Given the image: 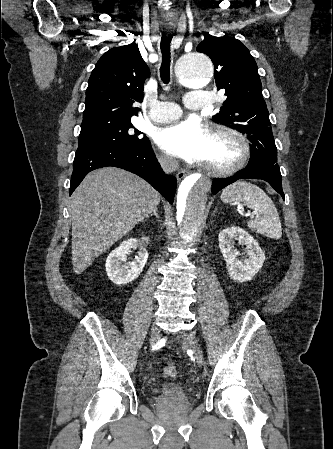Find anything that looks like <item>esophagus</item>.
<instances>
[{
	"instance_id": "34e87169",
	"label": "esophagus",
	"mask_w": 333,
	"mask_h": 449,
	"mask_svg": "<svg viewBox=\"0 0 333 449\" xmlns=\"http://www.w3.org/2000/svg\"><path fill=\"white\" fill-rule=\"evenodd\" d=\"M167 32L169 33L170 31L167 30ZM184 177H185V172H184V171H179V172L177 173V179H178V180H182Z\"/></svg>"
}]
</instances>
